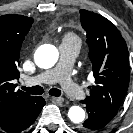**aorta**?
<instances>
[{"label": "aorta", "instance_id": "762f6f07", "mask_svg": "<svg viewBox=\"0 0 133 133\" xmlns=\"http://www.w3.org/2000/svg\"><path fill=\"white\" fill-rule=\"evenodd\" d=\"M58 57L56 47L45 45L35 54L34 59L38 67L48 69L55 65ZM68 117L75 124L82 123L85 120V111L80 106H71L68 110Z\"/></svg>", "mask_w": 133, "mask_h": 133}]
</instances>
